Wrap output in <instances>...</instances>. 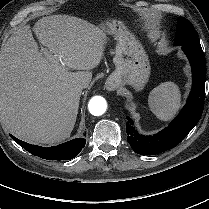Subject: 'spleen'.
<instances>
[{
	"instance_id": "obj_1",
	"label": "spleen",
	"mask_w": 209,
	"mask_h": 209,
	"mask_svg": "<svg viewBox=\"0 0 209 209\" xmlns=\"http://www.w3.org/2000/svg\"><path fill=\"white\" fill-rule=\"evenodd\" d=\"M148 104L157 118L170 120L181 106L179 87L171 81L161 83L150 92Z\"/></svg>"
}]
</instances>
